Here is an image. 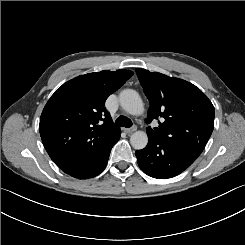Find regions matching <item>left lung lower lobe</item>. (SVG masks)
I'll use <instances>...</instances> for the list:
<instances>
[{
	"mask_svg": "<svg viewBox=\"0 0 245 245\" xmlns=\"http://www.w3.org/2000/svg\"><path fill=\"white\" fill-rule=\"evenodd\" d=\"M135 154L140 169L158 179L179 175L197 159L181 147L149 136L147 146Z\"/></svg>",
	"mask_w": 245,
	"mask_h": 245,
	"instance_id": "1",
	"label": "left lung lower lobe"
}]
</instances>
